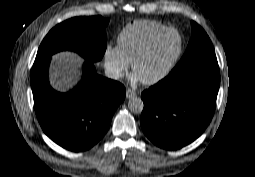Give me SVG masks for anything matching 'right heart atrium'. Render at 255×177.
Returning a JSON list of instances; mask_svg holds the SVG:
<instances>
[{"label": "right heart atrium", "mask_w": 255, "mask_h": 177, "mask_svg": "<svg viewBox=\"0 0 255 177\" xmlns=\"http://www.w3.org/2000/svg\"><path fill=\"white\" fill-rule=\"evenodd\" d=\"M105 64L113 78H120L130 67L119 45L108 44L104 51Z\"/></svg>", "instance_id": "right-heart-atrium-1"}]
</instances>
